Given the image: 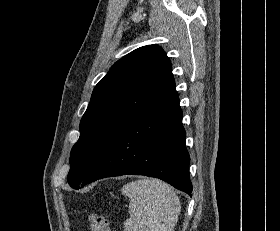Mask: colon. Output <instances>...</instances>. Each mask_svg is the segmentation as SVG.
Instances as JSON below:
<instances>
[{"instance_id": "colon-1", "label": "colon", "mask_w": 280, "mask_h": 231, "mask_svg": "<svg viewBox=\"0 0 280 231\" xmlns=\"http://www.w3.org/2000/svg\"><path fill=\"white\" fill-rule=\"evenodd\" d=\"M91 231H109L108 221L101 212H93L89 216Z\"/></svg>"}]
</instances>
